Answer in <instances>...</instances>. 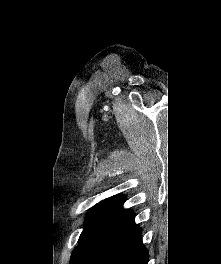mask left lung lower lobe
I'll return each instance as SVG.
<instances>
[{
	"label": "left lung lower lobe",
	"instance_id": "obj_1",
	"mask_svg": "<svg viewBox=\"0 0 221 264\" xmlns=\"http://www.w3.org/2000/svg\"><path fill=\"white\" fill-rule=\"evenodd\" d=\"M111 210L74 249L70 264H147L148 251L134 214L122 208Z\"/></svg>",
	"mask_w": 221,
	"mask_h": 264
}]
</instances>
